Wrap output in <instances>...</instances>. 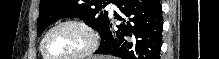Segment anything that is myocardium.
Returning a JSON list of instances; mask_svg holds the SVG:
<instances>
[{
  "instance_id": "obj_1",
  "label": "myocardium",
  "mask_w": 219,
  "mask_h": 59,
  "mask_svg": "<svg viewBox=\"0 0 219 59\" xmlns=\"http://www.w3.org/2000/svg\"><path fill=\"white\" fill-rule=\"evenodd\" d=\"M67 25H73L81 28L87 35L88 37V44L84 50L81 52H78L72 56L68 57H54L51 54H49L46 50L45 43L48 38V36L56 29L62 27V26H67ZM98 47V37L93 28L86 23L83 20L76 19V18H71V19H66L62 20L60 22H57L54 24L52 27H50L45 34L43 35L40 43V51L42 53V56H44L46 59H83L86 58L90 55H92Z\"/></svg>"
}]
</instances>
